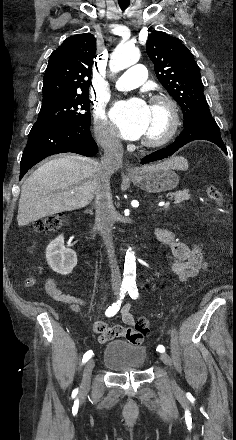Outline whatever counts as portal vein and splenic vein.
Listing matches in <instances>:
<instances>
[{
  "mask_svg": "<svg viewBox=\"0 0 236 440\" xmlns=\"http://www.w3.org/2000/svg\"><path fill=\"white\" fill-rule=\"evenodd\" d=\"M162 206H164V208H167L169 206V202L164 203Z\"/></svg>",
  "mask_w": 236,
  "mask_h": 440,
  "instance_id": "obj_1",
  "label": "portal vein and splenic vein"
}]
</instances>
